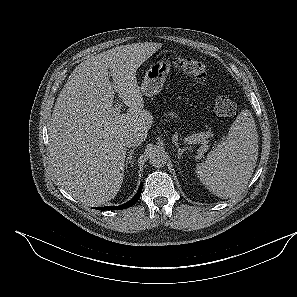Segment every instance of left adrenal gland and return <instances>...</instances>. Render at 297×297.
Listing matches in <instances>:
<instances>
[{"label":"left adrenal gland","mask_w":297,"mask_h":297,"mask_svg":"<svg viewBox=\"0 0 297 297\" xmlns=\"http://www.w3.org/2000/svg\"><path fill=\"white\" fill-rule=\"evenodd\" d=\"M176 145V148H177V156L178 158H181L182 154L188 149V147H185V148H180L178 144H175Z\"/></svg>","instance_id":"a2214340"}]
</instances>
